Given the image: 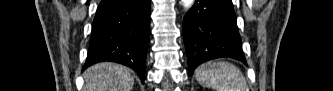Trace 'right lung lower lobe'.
I'll list each match as a JSON object with an SVG mask.
<instances>
[{
	"instance_id": "obj_1",
	"label": "right lung lower lobe",
	"mask_w": 333,
	"mask_h": 91,
	"mask_svg": "<svg viewBox=\"0 0 333 91\" xmlns=\"http://www.w3.org/2000/svg\"><path fill=\"white\" fill-rule=\"evenodd\" d=\"M149 24L150 0H102L83 70L101 61L117 62L134 69L144 83Z\"/></svg>"
}]
</instances>
